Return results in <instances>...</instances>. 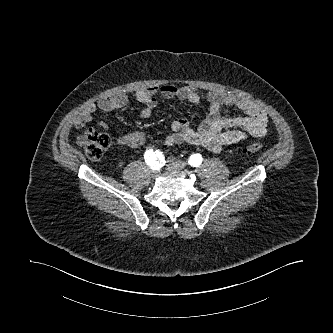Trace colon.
Wrapping results in <instances>:
<instances>
[{
  "label": "colon",
  "instance_id": "colon-1",
  "mask_svg": "<svg viewBox=\"0 0 333 333\" xmlns=\"http://www.w3.org/2000/svg\"><path fill=\"white\" fill-rule=\"evenodd\" d=\"M78 142L83 146L86 156L91 160H99L111 145V139L106 132L95 128L88 129ZM259 143H251L243 148L245 155H254L262 151Z\"/></svg>",
  "mask_w": 333,
  "mask_h": 333
}]
</instances>
